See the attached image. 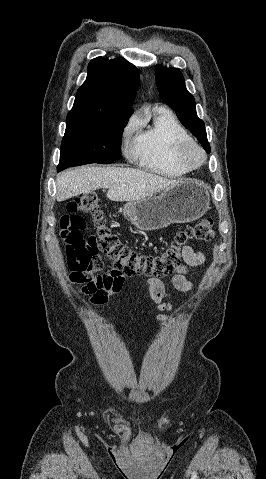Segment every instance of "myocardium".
Here are the masks:
<instances>
[{"label": "myocardium", "instance_id": "obj_1", "mask_svg": "<svg viewBox=\"0 0 266 479\" xmlns=\"http://www.w3.org/2000/svg\"><path fill=\"white\" fill-rule=\"evenodd\" d=\"M175 156L182 165L192 170L204 165L207 158L203 148L193 140L181 142L176 148Z\"/></svg>", "mask_w": 266, "mask_h": 479}]
</instances>
